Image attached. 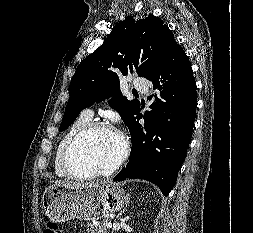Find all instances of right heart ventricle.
Masks as SVG:
<instances>
[{
	"mask_svg": "<svg viewBox=\"0 0 253 233\" xmlns=\"http://www.w3.org/2000/svg\"><path fill=\"white\" fill-rule=\"evenodd\" d=\"M89 117L83 116L82 114L73 121V123L69 126V128L66 130V132L61 137L56 151L54 155V171L55 174L59 177H68L66 174L63 165H62V158L65 151V148L68 144V142L72 139V137L81 130L84 126H86L88 123H90Z\"/></svg>",
	"mask_w": 253,
	"mask_h": 233,
	"instance_id": "1",
	"label": "right heart ventricle"
}]
</instances>
